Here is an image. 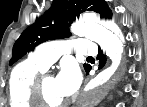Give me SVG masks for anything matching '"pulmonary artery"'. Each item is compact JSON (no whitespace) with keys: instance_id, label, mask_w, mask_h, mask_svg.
Masks as SVG:
<instances>
[{"instance_id":"pulmonary-artery-1","label":"pulmonary artery","mask_w":147,"mask_h":107,"mask_svg":"<svg viewBox=\"0 0 147 107\" xmlns=\"http://www.w3.org/2000/svg\"><path fill=\"white\" fill-rule=\"evenodd\" d=\"M70 43L71 46H67ZM71 48L75 49L77 54L94 56L97 53V46L94 42L84 39H73L69 42L56 41L41 45L37 51L31 53L34 62L44 68L52 65L62 53L70 52Z\"/></svg>"}]
</instances>
